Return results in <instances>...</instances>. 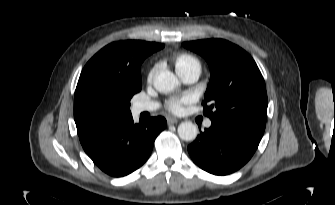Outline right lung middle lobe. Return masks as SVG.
<instances>
[{
    "label": "right lung middle lobe",
    "instance_id": "1",
    "mask_svg": "<svg viewBox=\"0 0 335 205\" xmlns=\"http://www.w3.org/2000/svg\"><path fill=\"white\" fill-rule=\"evenodd\" d=\"M141 88H142V84H141V81H140L139 84H138V86L130 93V95H129V102H130V99L132 98V96L135 93L139 92L141 90Z\"/></svg>",
    "mask_w": 335,
    "mask_h": 205
}]
</instances>
